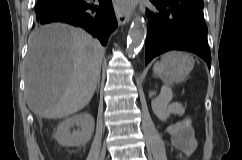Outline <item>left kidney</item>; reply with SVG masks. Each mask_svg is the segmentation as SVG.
<instances>
[{
  "instance_id": "obj_1",
  "label": "left kidney",
  "mask_w": 242,
  "mask_h": 160,
  "mask_svg": "<svg viewBox=\"0 0 242 160\" xmlns=\"http://www.w3.org/2000/svg\"><path fill=\"white\" fill-rule=\"evenodd\" d=\"M176 106L178 107V110H179L178 113L184 112V109L179 104H176ZM152 110H153L154 114L163 122H165L167 120V118L169 117V114H170L167 104L161 103L157 99H155L152 102Z\"/></svg>"
}]
</instances>
